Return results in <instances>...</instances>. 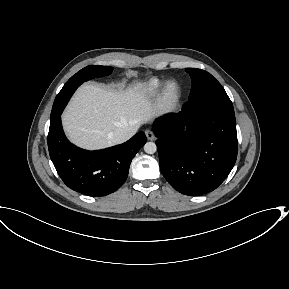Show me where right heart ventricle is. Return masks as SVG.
<instances>
[{
	"instance_id": "obj_1",
	"label": "right heart ventricle",
	"mask_w": 289,
	"mask_h": 289,
	"mask_svg": "<svg viewBox=\"0 0 289 289\" xmlns=\"http://www.w3.org/2000/svg\"><path fill=\"white\" fill-rule=\"evenodd\" d=\"M163 85V81L159 78H151L142 86V93L145 95L156 94Z\"/></svg>"
}]
</instances>
